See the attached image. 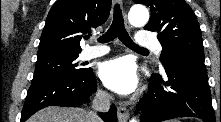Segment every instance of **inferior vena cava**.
<instances>
[{"label":"inferior vena cava","instance_id":"obj_1","mask_svg":"<svg viewBox=\"0 0 221 122\" xmlns=\"http://www.w3.org/2000/svg\"><path fill=\"white\" fill-rule=\"evenodd\" d=\"M110 101L111 96L103 91H98L95 95V98L92 102V107L94 109V112L92 114L94 115L95 119L97 121L100 120V118L97 116L96 112H106L110 108Z\"/></svg>","mask_w":221,"mask_h":122}]
</instances>
